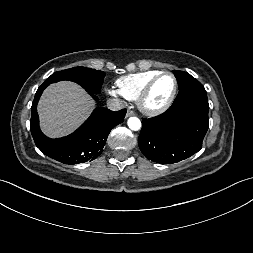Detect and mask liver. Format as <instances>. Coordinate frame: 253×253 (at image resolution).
<instances>
[{
	"mask_svg": "<svg viewBox=\"0 0 253 253\" xmlns=\"http://www.w3.org/2000/svg\"><path fill=\"white\" fill-rule=\"evenodd\" d=\"M94 108L91 97L79 85L61 81L43 93L38 114L42 131L49 137H62L74 131Z\"/></svg>",
	"mask_w": 253,
	"mask_h": 253,
	"instance_id": "obj_1",
	"label": "liver"
}]
</instances>
